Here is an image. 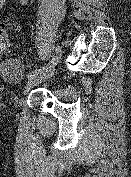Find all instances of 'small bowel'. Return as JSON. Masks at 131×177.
<instances>
[{
    "label": "small bowel",
    "instance_id": "c3829d8e",
    "mask_svg": "<svg viewBox=\"0 0 131 177\" xmlns=\"http://www.w3.org/2000/svg\"><path fill=\"white\" fill-rule=\"evenodd\" d=\"M8 0H0V10H2L5 5L7 4ZM18 2L22 5V6H26L29 3V0H18Z\"/></svg>",
    "mask_w": 131,
    "mask_h": 177
}]
</instances>
